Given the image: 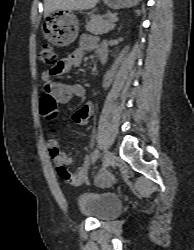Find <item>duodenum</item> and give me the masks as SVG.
<instances>
[{
  "label": "duodenum",
  "mask_w": 194,
  "mask_h": 250,
  "mask_svg": "<svg viewBox=\"0 0 194 250\" xmlns=\"http://www.w3.org/2000/svg\"><path fill=\"white\" fill-rule=\"evenodd\" d=\"M100 60H101L102 63H105L106 60H107V54L106 55L105 54H101L100 55Z\"/></svg>",
  "instance_id": "duodenum-1"
}]
</instances>
